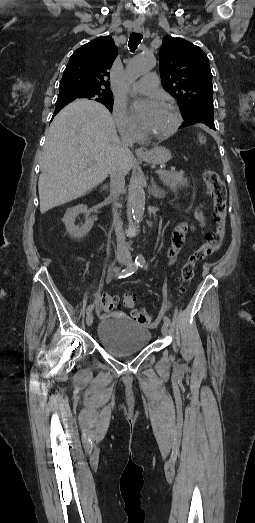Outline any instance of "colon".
Here are the masks:
<instances>
[{"mask_svg": "<svg viewBox=\"0 0 255 523\" xmlns=\"http://www.w3.org/2000/svg\"><path fill=\"white\" fill-rule=\"evenodd\" d=\"M200 141H204L202 136H200ZM203 179L206 190L212 198L215 213L214 230L205 236L200 247L193 251L184 262L180 275L181 286L188 284L192 280L195 267L200 261L221 248L226 234L227 195L225 185L219 175L210 169L204 172ZM100 304L104 311H111L120 306L118 300L111 295L102 296ZM122 304L128 309H132L135 305L134 296L130 293H125ZM132 316L143 326H150L153 322L152 316L145 311H133Z\"/></svg>", "mask_w": 255, "mask_h": 523, "instance_id": "colon-1", "label": "colon"}]
</instances>
